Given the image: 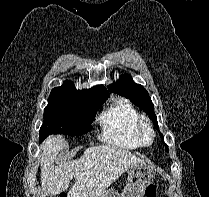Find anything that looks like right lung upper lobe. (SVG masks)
<instances>
[{"label":"right lung upper lobe","mask_w":209,"mask_h":197,"mask_svg":"<svg viewBox=\"0 0 209 197\" xmlns=\"http://www.w3.org/2000/svg\"><path fill=\"white\" fill-rule=\"evenodd\" d=\"M56 88L75 89L74 84L71 81H66L61 87ZM81 91L85 92L89 97L94 99H107L109 96L107 89L103 85H98L89 90Z\"/></svg>","instance_id":"1"}]
</instances>
